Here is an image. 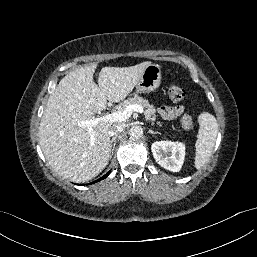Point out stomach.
<instances>
[{
    "mask_svg": "<svg viewBox=\"0 0 257 257\" xmlns=\"http://www.w3.org/2000/svg\"><path fill=\"white\" fill-rule=\"evenodd\" d=\"M161 83V68L157 64H150L142 73L136 84L137 92L150 93L156 90Z\"/></svg>",
    "mask_w": 257,
    "mask_h": 257,
    "instance_id": "obj_1",
    "label": "stomach"
}]
</instances>
